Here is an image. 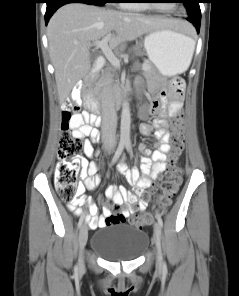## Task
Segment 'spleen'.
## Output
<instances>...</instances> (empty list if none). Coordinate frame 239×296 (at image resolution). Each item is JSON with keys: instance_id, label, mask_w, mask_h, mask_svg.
I'll return each instance as SVG.
<instances>
[{"instance_id": "obj_1", "label": "spleen", "mask_w": 239, "mask_h": 296, "mask_svg": "<svg viewBox=\"0 0 239 296\" xmlns=\"http://www.w3.org/2000/svg\"><path fill=\"white\" fill-rule=\"evenodd\" d=\"M194 47H195V42L192 40V43H191V46H190V49H189V56H188V61H187L186 69L190 65L192 54H193V51H194Z\"/></svg>"}]
</instances>
